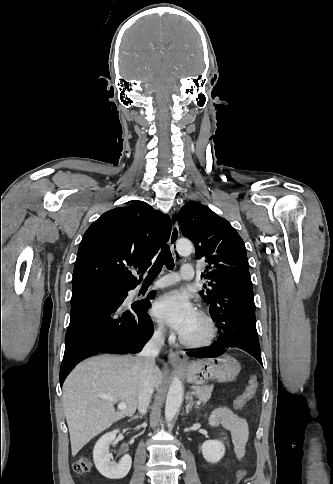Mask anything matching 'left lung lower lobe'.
<instances>
[{"label": "left lung lower lobe", "instance_id": "1", "mask_svg": "<svg viewBox=\"0 0 333 484\" xmlns=\"http://www.w3.org/2000/svg\"><path fill=\"white\" fill-rule=\"evenodd\" d=\"M218 288V297L216 303L210 306V314L218 324L220 336L211 346L199 352H188V356L217 357L229 348L235 347L248 352L263 365L248 268L225 273L218 283Z\"/></svg>", "mask_w": 333, "mask_h": 484}]
</instances>
